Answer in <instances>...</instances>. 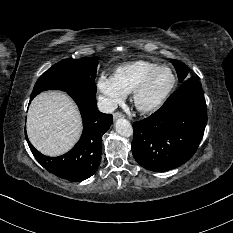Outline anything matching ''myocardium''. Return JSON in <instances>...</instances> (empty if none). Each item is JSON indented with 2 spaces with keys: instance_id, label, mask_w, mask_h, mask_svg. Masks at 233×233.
Masks as SVG:
<instances>
[{
  "instance_id": "1",
  "label": "myocardium",
  "mask_w": 233,
  "mask_h": 233,
  "mask_svg": "<svg viewBox=\"0 0 233 233\" xmlns=\"http://www.w3.org/2000/svg\"><path fill=\"white\" fill-rule=\"evenodd\" d=\"M162 70H168L171 74V80L166 89L163 91V93L152 103L150 104H144L141 101V97L143 93L148 88L150 82L155 77V75L162 71ZM176 84V77L173 72V70L168 66H158L153 71H151L142 81L141 83L135 88L133 91V103L136 109L142 113H153L161 108V106L164 104V102L169 97L170 93L174 89Z\"/></svg>"
}]
</instances>
